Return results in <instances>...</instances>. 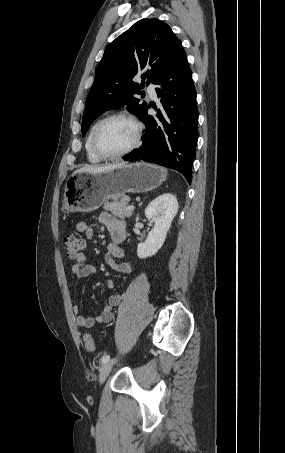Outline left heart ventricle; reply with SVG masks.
<instances>
[{
    "label": "left heart ventricle",
    "instance_id": "left-heart-ventricle-1",
    "mask_svg": "<svg viewBox=\"0 0 285 453\" xmlns=\"http://www.w3.org/2000/svg\"><path fill=\"white\" fill-rule=\"evenodd\" d=\"M135 127L123 118H116L106 122L98 135V146L107 154L121 152L134 141Z\"/></svg>",
    "mask_w": 285,
    "mask_h": 453
}]
</instances>
